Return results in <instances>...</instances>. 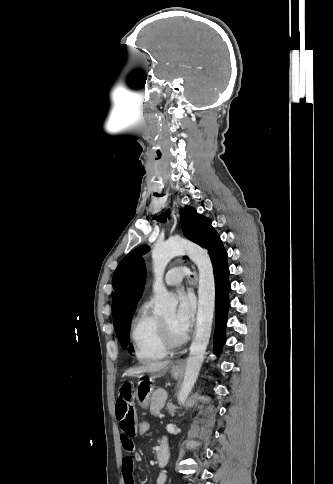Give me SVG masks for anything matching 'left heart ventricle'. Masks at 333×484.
I'll return each mask as SVG.
<instances>
[{"instance_id": "1", "label": "left heart ventricle", "mask_w": 333, "mask_h": 484, "mask_svg": "<svg viewBox=\"0 0 333 484\" xmlns=\"http://www.w3.org/2000/svg\"><path fill=\"white\" fill-rule=\"evenodd\" d=\"M165 323L168 325L171 333L174 335V336H181L182 334L180 332H178L176 330V328L174 327V324H173V319H174V312H170L164 316H162V318Z\"/></svg>"}]
</instances>
